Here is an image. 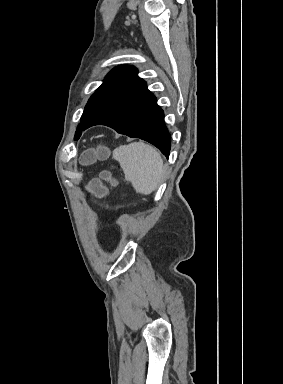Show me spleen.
<instances>
[{
    "label": "spleen",
    "instance_id": "1",
    "mask_svg": "<svg viewBox=\"0 0 283 384\" xmlns=\"http://www.w3.org/2000/svg\"><path fill=\"white\" fill-rule=\"evenodd\" d=\"M113 158L119 162L125 180L131 182L138 194L148 196L158 188L164 164L156 148L143 142H133L113 150Z\"/></svg>",
    "mask_w": 283,
    "mask_h": 384
}]
</instances>
